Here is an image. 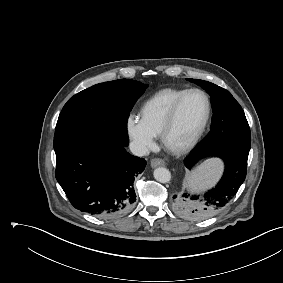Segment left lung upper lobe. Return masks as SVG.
<instances>
[{"label":"left lung upper lobe","mask_w":283,"mask_h":283,"mask_svg":"<svg viewBox=\"0 0 283 283\" xmlns=\"http://www.w3.org/2000/svg\"><path fill=\"white\" fill-rule=\"evenodd\" d=\"M187 80L201 86L209 93L213 109L210 132L197 147L237 148L249 151L250 128L243 109L231 93L211 82L190 78Z\"/></svg>","instance_id":"5c2ea615"}]
</instances>
